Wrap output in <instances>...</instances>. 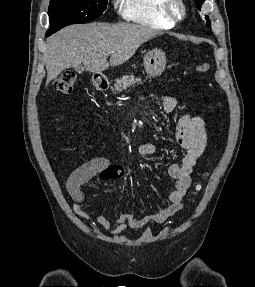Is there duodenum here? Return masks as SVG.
Wrapping results in <instances>:
<instances>
[{"label": "duodenum", "mask_w": 255, "mask_h": 287, "mask_svg": "<svg viewBox=\"0 0 255 287\" xmlns=\"http://www.w3.org/2000/svg\"><path fill=\"white\" fill-rule=\"evenodd\" d=\"M109 83L106 79L103 78H97L95 80V87L100 90V91H104L108 88Z\"/></svg>", "instance_id": "duodenum-1"}]
</instances>
